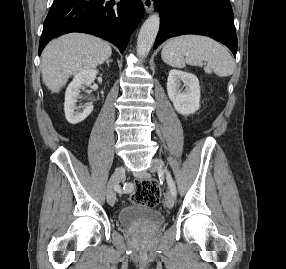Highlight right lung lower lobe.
Segmentation results:
<instances>
[{
  "label": "right lung lower lobe",
  "mask_w": 286,
  "mask_h": 269,
  "mask_svg": "<svg viewBox=\"0 0 286 269\" xmlns=\"http://www.w3.org/2000/svg\"><path fill=\"white\" fill-rule=\"evenodd\" d=\"M143 10L141 0H54L44 21L39 55L50 40L70 32L96 35L123 53Z\"/></svg>",
  "instance_id": "98d812e1"
}]
</instances>
